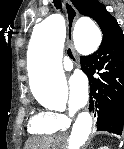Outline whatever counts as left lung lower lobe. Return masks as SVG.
I'll return each instance as SVG.
<instances>
[{
    "mask_svg": "<svg viewBox=\"0 0 124 149\" xmlns=\"http://www.w3.org/2000/svg\"><path fill=\"white\" fill-rule=\"evenodd\" d=\"M90 82V111L95 109L96 127L121 135L124 125V38L100 45L81 57ZM95 74H98L94 77Z\"/></svg>",
    "mask_w": 124,
    "mask_h": 149,
    "instance_id": "0a47b994",
    "label": "left lung lower lobe"
}]
</instances>
